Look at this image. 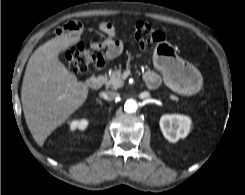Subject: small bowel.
Wrapping results in <instances>:
<instances>
[{"label":"small bowel","instance_id":"small-bowel-1","mask_svg":"<svg viewBox=\"0 0 245 195\" xmlns=\"http://www.w3.org/2000/svg\"><path fill=\"white\" fill-rule=\"evenodd\" d=\"M82 29V24L78 21H69L62 27L57 29V34H75ZM99 29L105 34V39L101 42H94L91 44L93 48H103L106 50V58L108 60L118 57L123 51V42L116 38V31L114 26L109 22H101ZM146 77H154L158 79V76L148 71ZM159 80V79H158Z\"/></svg>","mask_w":245,"mask_h":195}]
</instances>
